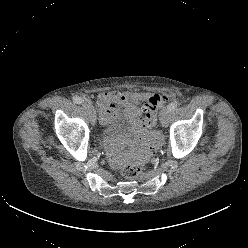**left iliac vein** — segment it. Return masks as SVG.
I'll use <instances>...</instances> for the list:
<instances>
[{
    "label": "left iliac vein",
    "mask_w": 248,
    "mask_h": 248,
    "mask_svg": "<svg viewBox=\"0 0 248 248\" xmlns=\"http://www.w3.org/2000/svg\"><path fill=\"white\" fill-rule=\"evenodd\" d=\"M170 109L169 107H164L160 112V122L163 127H167L169 120Z\"/></svg>",
    "instance_id": "1"
}]
</instances>
